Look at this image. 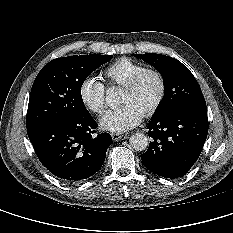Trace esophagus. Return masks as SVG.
I'll return each instance as SVG.
<instances>
[{
    "label": "esophagus",
    "mask_w": 233,
    "mask_h": 233,
    "mask_svg": "<svg viewBox=\"0 0 233 233\" xmlns=\"http://www.w3.org/2000/svg\"><path fill=\"white\" fill-rule=\"evenodd\" d=\"M111 136H112L113 141H119L121 139L127 138V135H121L118 133H111Z\"/></svg>",
    "instance_id": "34e87169"
}]
</instances>
